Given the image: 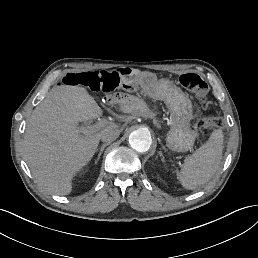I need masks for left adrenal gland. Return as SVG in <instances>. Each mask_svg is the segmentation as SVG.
<instances>
[{"label":"left adrenal gland","mask_w":258,"mask_h":258,"mask_svg":"<svg viewBox=\"0 0 258 258\" xmlns=\"http://www.w3.org/2000/svg\"><path fill=\"white\" fill-rule=\"evenodd\" d=\"M158 154H163L162 152V148H160L159 152H157Z\"/></svg>","instance_id":"obj_1"}]
</instances>
